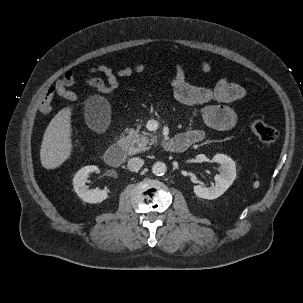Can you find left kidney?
Listing matches in <instances>:
<instances>
[{
  "label": "left kidney",
  "mask_w": 303,
  "mask_h": 303,
  "mask_svg": "<svg viewBox=\"0 0 303 303\" xmlns=\"http://www.w3.org/2000/svg\"><path fill=\"white\" fill-rule=\"evenodd\" d=\"M213 162L220 164V174L215 175V184L210 187H203L201 185H195L193 187L196 196L203 199H216L232 185L236 178V166L235 162L225 154H216Z\"/></svg>",
  "instance_id": "left-kidney-1"
}]
</instances>
